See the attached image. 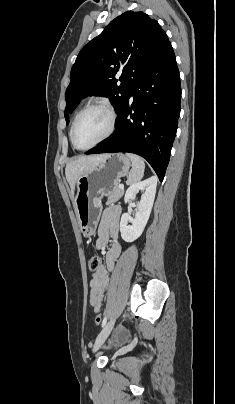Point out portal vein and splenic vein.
I'll use <instances>...</instances> for the list:
<instances>
[{"label": "portal vein and splenic vein", "instance_id": "18ae733b", "mask_svg": "<svg viewBox=\"0 0 235 404\" xmlns=\"http://www.w3.org/2000/svg\"><path fill=\"white\" fill-rule=\"evenodd\" d=\"M119 187H120L121 189H124V185H123V184H120Z\"/></svg>", "mask_w": 235, "mask_h": 404}]
</instances>
